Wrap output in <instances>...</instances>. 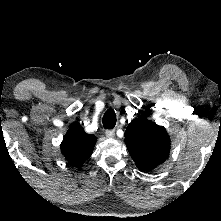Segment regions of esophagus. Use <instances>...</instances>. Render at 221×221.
<instances>
[{
  "instance_id": "1",
  "label": "esophagus",
  "mask_w": 221,
  "mask_h": 221,
  "mask_svg": "<svg viewBox=\"0 0 221 221\" xmlns=\"http://www.w3.org/2000/svg\"><path fill=\"white\" fill-rule=\"evenodd\" d=\"M105 135L108 138H114L115 137V130H106Z\"/></svg>"
}]
</instances>
